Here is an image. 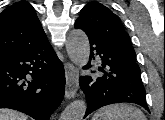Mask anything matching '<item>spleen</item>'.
I'll use <instances>...</instances> for the list:
<instances>
[{"mask_svg":"<svg viewBox=\"0 0 165 120\" xmlns=\"http://www.w3.org/2000/svg\"><path fill=\"white\" fill-rule=\"evenodd\" d=\"M92 120H146V117L137 107L121 103L99 109Z\"/></svg>","mask_w":165,"mask_h":120,"instance_id":"obj_1","label":"spleen"}]
</instances>
